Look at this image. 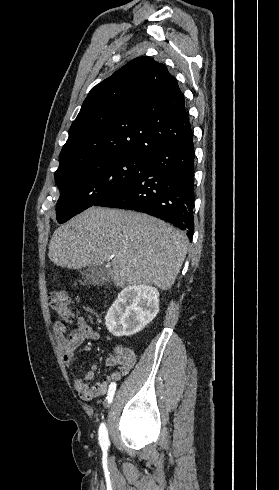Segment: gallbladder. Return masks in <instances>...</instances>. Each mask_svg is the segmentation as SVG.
Segmentation results:
<instances>
[{"mask_svg":"<svg viewBox=\"0 0 279 490\" xmlns=\"http://www.w3.org/2000/svg\"><path fill=\"white\" fill-rule=\"evenodd\" d=\"M87 284L91 286H104L109 282V268L106 266H88L87 270L80 272Z\"/></svg>","mask_w":279,"mask_h":490,"instance_id":"bac80fb5","label":"gallbladder"}]
</instances>
